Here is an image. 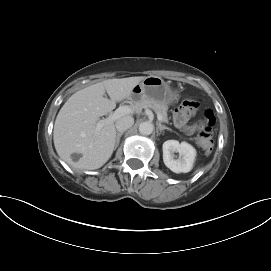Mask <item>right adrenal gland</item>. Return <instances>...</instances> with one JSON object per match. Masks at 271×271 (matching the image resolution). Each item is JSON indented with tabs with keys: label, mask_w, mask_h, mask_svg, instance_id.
Returning <instances> with one entry per match:
<instances>
[{
	"label": "right adrenal gland",
	"mask_w": 271,
	"mask_h": 271,
	"mask_svg": "<svg viewBox=\"0 0 271 271\" xmlns=\"http://www.w3.org/2000/svg\"><path fill=\"white\" fill-rule=\"evenodd\" d=\"M122 135H123V132L117 133L115 148L118 147L119 142H120V138H121Z\"/></svg>",
	"instance_id": "1"
}]
</instances>
